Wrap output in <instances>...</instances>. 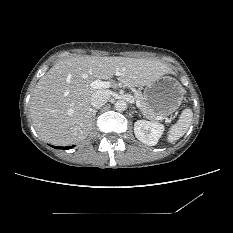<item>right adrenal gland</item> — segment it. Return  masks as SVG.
I'll return each instance as SVG.
<instances>
[{
	"mask_svg": "<svg viewBox=\"0 0 233 233\" xmlns=\"http://www.w3.org/2000/svg\"><path fill=\"white\" fill-rule=\"evenodd\" d=\"M98 109H99V108H94V109H93V119H95L96 112H97Z\"/></svg>",
	"mask_w": 233,
	"mask_h": 233,
	"instance_id": "right-adrenal-gland-1",
	"label": "right adrenal gland"
}]
</instances>
